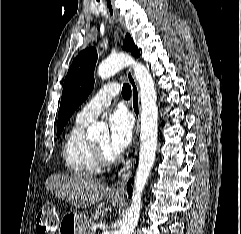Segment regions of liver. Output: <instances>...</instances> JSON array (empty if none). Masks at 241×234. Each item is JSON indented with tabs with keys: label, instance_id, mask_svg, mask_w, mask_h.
Returning a JSON list of instances; mask_svg holds the SVG:
<instances>
[{
	"label": "liver",
	"instance_id": "obj_1",
	"mask_svg": "<svg viewBox=\"0 0 241 234\" xmlns=\"http://www.w3.org/2000/svg\"><path fill=\"white\" fill-rule=\"evenodd\" d=\"M45 186L58 198L81 207L95 205L109 191L100 179L82 174H53L46 179Z\"/></svg>",
	"mask_w": 241,
	"mask_h": 234
}]
</instances>
